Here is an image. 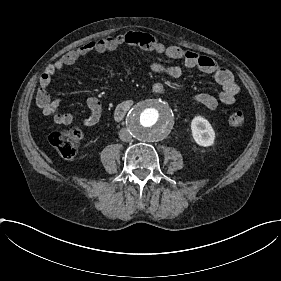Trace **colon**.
<instances>
[{
  "label": "colon",
  "mask_w": 281,
  "mask_h": 281,
  "mask_svg": "<svg viewBox=\"0 0 281 281\" xmlns=\"http://www.w3.org/2000/svg\"><path fill=\"white\" fill-rule=\"evenodd\" d=\"M245 115L241 110H234L230 114V122L233 126L243 125ZM81 138L78 130L63 129L52 134L50 143L57 149L60 156L65 159H73L77 153V146Z\"/></svg>",
  "instance_id": "1"
}]
</instances>
